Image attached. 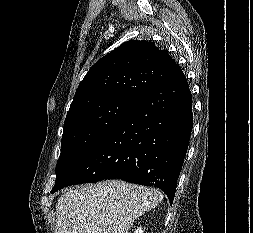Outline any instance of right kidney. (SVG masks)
Wrapping results in <instances>:
<instances>
[{"label": "right kidney", "mask_w": 253, "mask_h": 233, "mask_svg": "<svg viewBox=\"0 0 253 233\" xmlns=\"http://www.w3.org/2000/svg\"><path fill=\"white\" fill-rule=\"evenodd\" d=\"M134 233H144L143 228H137Z\"/></svg>", "instance_id": "obj_1"}]
</instances>
